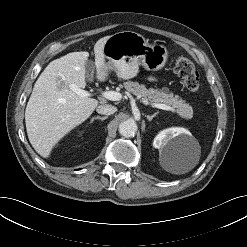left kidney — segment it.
<instances>
[{
  "instance_id": "1",
  "label": "left kidney",
  "mask_w": 247,
  "mask_h": 247,
  "mask_svg": "<svg viewBox=\"0 0 247 247\" xmlns=\"http://www.w3.org/2000/svg\"><path fill=\"white\" fill-rule=\"evenodd\" d=\"M195 143L191 133L184 128H168L161 131L154 139L153 146L160 153L176 161H183L186 152Z\"/></svg>"
}]
</instances>
